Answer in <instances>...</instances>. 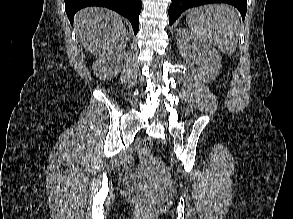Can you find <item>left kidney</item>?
Returning a JSON list of instances; mask_svg holds the SVG:
<instances>
[{
    "label": "left kidney",
    "mask_w": 293,
    "mask_h": 219,
    "mask_svg": "<svg viewBox=\"0 0 293 219\" xmlns=\"http://www.w3.org/2000/svg\"><path fill=\"white\" fill-rule=\"evenodd\" d=\"M177 42L180 54L189 65H198L197 73L203 80L209 82L219 76L222 69L221 57L211 45L198 39L185 28L178 29Z\"/></svg>",
    "instance_id": "1"
}]
</instances>
